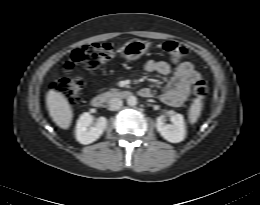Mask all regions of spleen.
Returning a JSON list of instances; mask_svg holds the SVG:
<instances>
[{
  "label": "spleen",
  "instance_id": "obj_1",
  "mask_svg": "<svg viewBox=\"0 0 260 205\" xmlns=\"http://www.w3.org/2000/svg\"><path fill=\"white\" fill-rule=\"evenodd\" d=\"M203 108V102L201 98H196L190 109H189V121L191 124H195L200 117L201 111Z\"/></svg>",
  "mask_w": 260,
  "mask_h": 205
}]
</instances>
